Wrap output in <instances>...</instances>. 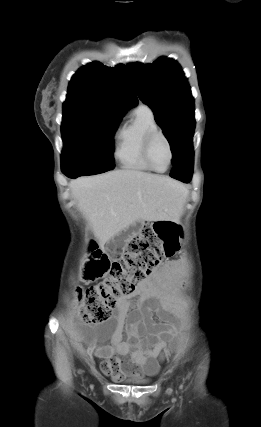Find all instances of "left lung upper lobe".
I'll list each match as a JSON object with an SVG mask.
<instances>
[{"mask_svg":"<svg viewBox=\"0 0 261 427\" xmlns=\"http://www.w3.org/2000/svg\"><path fill=\"white\" fill-rule=\"evenodd\" d=\"M137 95L148 104L162 128L176 164L195 129L194 99L180 65L165 57L152 64L129 65Z\"/></svg>","mask_w":261,"mask_h":427,"instance_id":"5c2ea615","label":"left lung upper lobe"}]
</instances>
